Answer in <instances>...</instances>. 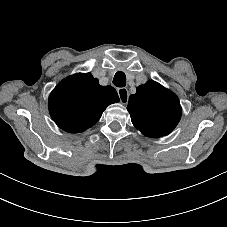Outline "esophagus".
I'll list each match as a JSON object with an SVG mask.
<instances>
[{"mask_svg":"<svg viewBox=\"0 0 227 227\" xmlns=\"http://www.w3.org/2000/svg\"><path fill=\"white\" fill-rule=\"evenodd\" d=\"M117 93H118L120 102L123 105H126L129 100V91L127 90V88H117Z\"/></svg>","mask_w":227,"mask_h":227,"instance_id":"obj_1","label":"esophagus"}]
</instances>
